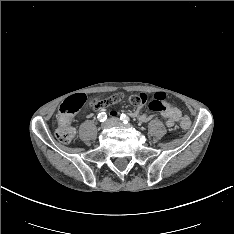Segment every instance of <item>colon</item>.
<instances>
[{"mask_svg": "<svg viewBox=\"0 0 234 234\" xmlns=\"http://www.w3.org/2000/svg\"><path fill=\"white\" fill-rule=\"evenodd\" d=\"M123 97L122 94L115 95L111 101L120 100ZM165 94L162 92L155 93L153 95H147L144 93L133 94L129 96V102L135 107H142L147 105L151 110H159L165 100ZM86 102V97L82 94H76L64 100L59 107L57 113V138L65 144L72 143L76 138V130L71 126V120L73 116L82 108ZM92 105L95 109L100 108L102 105L101 100H94ZM190 126V120L185 117L181 121V127L187 129Z\"/></svg>", "mask_w": 234, "mask_h": 234, "instance_id": "5ec220e1", "label": "colon"}]
</instances>
